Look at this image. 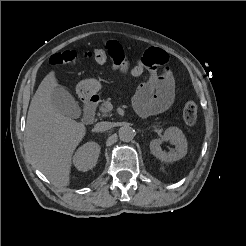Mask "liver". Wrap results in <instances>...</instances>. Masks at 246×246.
I'll return each mask as SVG.
<instances>
[{"label": "liver", "mask_w": 246, "mask_h": 246, "mask_svg": "<svg viewBox=\"0 0 246 246\" xmlns=\"http://www.w3.org/2000/svg\"><path fill=\"white\" fill-rule=\"evenodd\" d=\"M55 72L45 76L27 115L26 144L33 164L55 185L70 183L72 155L86 133L83 123L61 114L52 104L57 87Z\"/></svg>", "instance_id": "6515ba94"}]
</instances>
